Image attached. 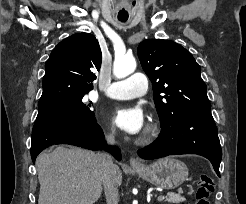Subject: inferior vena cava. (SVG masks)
<instances>
[{
	"label": "inferior vena cava",
	"mask_w": 246,
	"mask_h": 204,
	"mask_svg": "<svg viewBox=\"0 0 246 204\" xmlns=\"http://www.w3.org/2000/svg\"><path fill=\"white\" fill-rule=\"evenodd\" d=\"M106 140L109 144H114L115 142L113 134H109ZM98 155L102 165V181L106 202L107 204H118L119 195L114 180L116 165L113 163L112 156L109 153L103 152Z\"/></svg>",
	"instance_id": "1"
}]
</instances>
